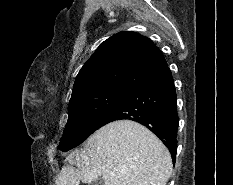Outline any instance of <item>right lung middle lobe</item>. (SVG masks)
Listing matches in <instances>:
<instances>
[{
  "mask_svg": "<svg viewBox=\"0 0 233 185\" xmlns=\"http://www.w3.org/2000/svg\"><path fill=\"white\" fill-rule=\"evenodd\" d=\"M129 89L107 87L70 99L69 118L59 149L68 151L81 144L99 128L102 120L124 99Z\"/></svg>",
  "mask_w": 233,
  "mask_h": 185,
  "instance_id": "1",
  "label": "right lung middle lobe"
}]
</instances>
